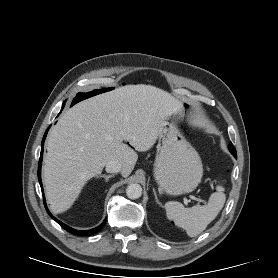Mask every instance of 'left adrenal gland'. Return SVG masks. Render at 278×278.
<instances>
[{"label": "left adrenal gland", "mask_w": 278, "mask_h": 278, "mask_svg": "<svg viewBox=\"0 0 278 278\" xmlns=\"http://www.w3.org/2000/svg\"><path fill=\"white\" fill-rule=\"evenodd\" d=\"M153 193H154V196H155V201L157 204L161 205L160 201L158 200V197H157V194H156V191L155 189L153 188Z\"/></svg>", "instance_id": "a2214340"}]
</instances>
